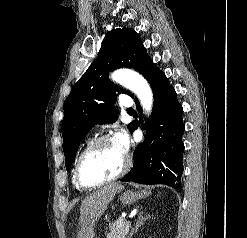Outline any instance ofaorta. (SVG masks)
I'll list each match as a JSON object with an SVG mask.
<instances>
[{"instance_id": "762f6f07", "label": "aorta", "mask_w": 247, "mask_h": 238, "mask_svg": "<svg viewBox=\"0 0 247 238\" xmlns=\"http://www.w3.org/2000/svg\"><path fill=\"white\" fill-rule=\"evenodd\" d=\"M112 80L134 92L139 98L146 113H150L153 106V94L148 82L137 72L118 70L111 76Z\"/></svg>"}]
</instances>
